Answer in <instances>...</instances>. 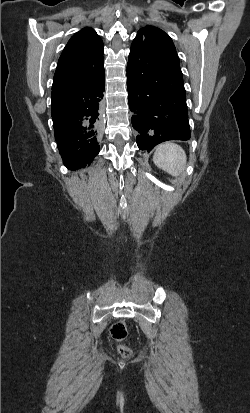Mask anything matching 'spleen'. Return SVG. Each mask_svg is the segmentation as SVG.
<instances>
[{
    "label": "spleen",
    "instance_id": "spleen-1",
    "mask_svg": "<svg viewBox=\"0 0 250 413\" xmlns=\"http://www.w3.org/2000/svg\"><path fill=\"white\" fill-rule=\"evenodd\" d=\"M153 162L157 167L176 177L185 171L187 156L178 144L165 142L156 148Z\"/></svg>",
    "mask_w": 250,
    "mask_h": 413
}]
</instances>
